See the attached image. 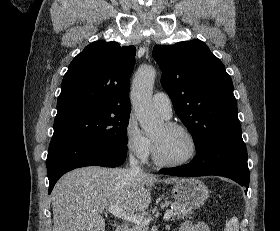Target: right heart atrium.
Returning a JSON list of instances; mask_svg holds the SVG:
<instances>
[{
	"instance_id": "right-heart-atrium-1",
	"label": "right heart atrium",
	"mask_w": 280,
	"mask_h": 231,
	"mask_svg": "<svg viewBox=\"0 0 280 231\" xmlns=\"http://www.w3.org/2000/svg\"><path fill=\"white\" fill-rule=\"evenodd\" d=\"M124 145L128 153L141 160L149 158L153 151L151 140L139 129L137 122L129 118L124 128Z\"/></svg>"
}]
</instances>
